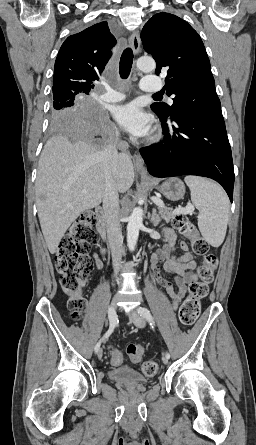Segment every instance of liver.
Returning <instances> with one entry per match:
<instances>
[{
  "label": "liver",
  "instance_id": "liver-1",
  "mask_svg": "<svg viewBox=\"0 0 256 445\" xmlns=\"http://www.w3.org/2000/svg\"><path fill=\"white\" fill-rule=\"evenodd\" d=\"M103 150L86 138L72 142L57 135L50 138L41 153L36 179V202L42 233L51 254L66 230L86 210L99 206L104 198ZM130 157L118 155L114 176L119 192L134 182ZM86 193H83V190Z\"/></svg>",
  "mask_w": 256,
  "mask_h": 445
}]
</instances>
